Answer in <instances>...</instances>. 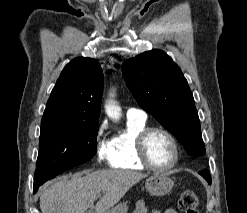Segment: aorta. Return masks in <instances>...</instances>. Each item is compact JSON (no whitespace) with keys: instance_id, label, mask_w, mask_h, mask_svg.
<instances>
[{"instance_id":"aorta-1","label":"aorta","mask_w":247,"mask_h":213,"mask_svg":"<svg viewBox=\"0 0 247 213\" xmlns=\"http://www.w3.org/2000/svg\"><path fill=\"white\" fill-rule=\"evenodd\" d=\"M110 98L105 104L106 114L115 122H117L121 117V108L118 106L117 102L114 100V92L110 93Z\"/></svg>"}]
</instances>
